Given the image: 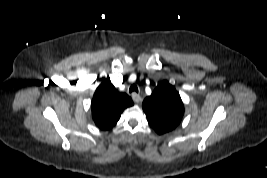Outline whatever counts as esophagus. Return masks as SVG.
<instances>
[{"mask_svg":"<svg viewBox=\"0 0 267 178\" xmlns=\"http://www.w3.org/2000/svg\"><path fill=\"white\" fill-rule=\"evenodd\" d=\"M132 98H133L134 102H136V103H140V101H141V96L136 94V93L132 94Z\"/></svg>","mask_w":267,"mask_h":178,"instance_id":"1","label":"esophagus"}]
</instances>
